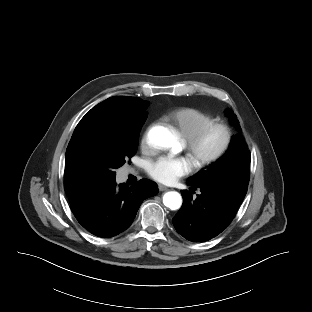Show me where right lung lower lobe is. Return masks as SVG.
<instances>
[{
    "mask_svg": "<svg viewBox=\"0 0 312 312\" xmlns=\"http://www.w3.org/2000/svg\"><path fill=\"white\" fill-rule=\"evenodd\" d=\"M158 193L155 182L142 179L127 187L113 180L82 199L71 210L92 234L107 238L118 235L133 222L143 200Z\"/></svg>",
    "mask_w": 312,
    "mask_h": 312,
    "instance_id": "obj_1",
    "label": "right lung lower lobe"
}]
</instances>
